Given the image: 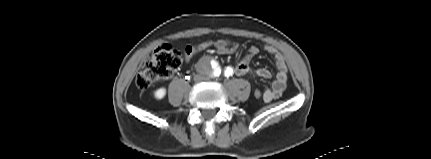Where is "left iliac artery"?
Returning a JSON list of instances; mask_svg holds the SVG:
<instances>
[{
	"instance_id": "1",
	"label": "left iliac artery",
	"mask_w": 431,
	"mask_h": 159,
	"mask_svg": "<svg viewBox=\"0 0 431 159\" xmlns=\"http://www.w3.org/2000/svg\"><path fill=\"white\" fill-rule=\"evenodd\" d=\"M224 74H225V76H227V77H229L230 75H232V71H231V69H230V68H227V69L224 71ZM215 75H217V74L215 73Z\"/></svg>"
}]
</instances>
